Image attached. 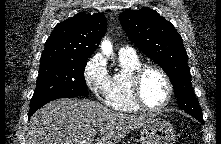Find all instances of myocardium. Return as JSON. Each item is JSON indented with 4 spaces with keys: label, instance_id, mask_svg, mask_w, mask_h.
<instances>
[{
    "label": "myocardium",
    "instance_id": "obj_1",
    "mask_svg": "<svg viewBox=\"0 0 221 144\" xmlns=\"http://www.w3.org/2000/svg\"><path fill=\"white\" fill-rule=\"evenodd\" d=\"M149 70L158 71L163 76L167 84V88H168V93H167V97L165 101L161 105L156 106V107L148 106L145 103L142 97V92H141L142 79ZM130 91H131L132 99L139 109L149 111V112H158V111L163 110L170 104L173 98L174 87H173L171 78L162 67L156 64H141L136 69H134L130 75Z\"/></svg>",
    "mask_w": 221,
    "mask_h": 144
}]
</instances>
